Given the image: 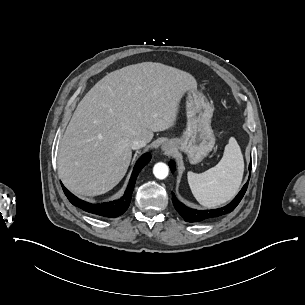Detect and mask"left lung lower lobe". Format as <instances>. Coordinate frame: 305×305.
Here are the masks:
<instances>
[{"mask_svg": "<svg viewBox=\"0 0 305 305\" xmlns=\"http://www.w3.org/2000/svg\"><path fill=\"white\" fill-rule=\"evenodd\" d=\"M169 166L171 171L174 172L175 163L173 161H170ZM249 171H251V163L249 164ZM247 187H248V182L244 185L242 190L237 194V196L233 199L232 202H230L227 206L218 209L200 211V210L188 208L184 204L178 201L174 193H172V201L175 209L180 213V215L185 219V221L191 223L197 221H203L232 212L243 198L247 190Z\"/></svg>", "mask_w": 305, "mask_h": 305, "instance_id": "0a47b994", "label": "left lung lower lobe"}]
</instances>
